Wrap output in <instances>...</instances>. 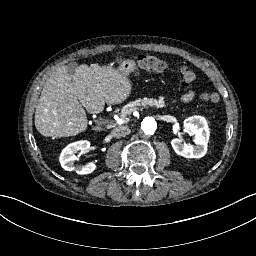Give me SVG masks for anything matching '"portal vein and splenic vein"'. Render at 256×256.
<instances>
[{"mask_svg": "<svg viewBox=\"0 0 256 256\" xmlns=\"http://www.w3.org/2000/svg\"><path fill=\"white\" fill-rule=\"evenodd\" d=\"M138 108L137 104H134L133 106H130L129 109L127 110V112H131L133 113V111H135ZM139 109H142V106H139ZM119 118V117H118ZM122 119V118H119ZM123 120V119H122Z\"/></svg>", "mask_w": 256, "mask_h": 256, "instance_id": "18ae733b", "label": "portal vein and splenic vein"}]
</instances>
